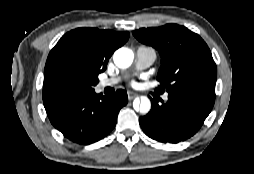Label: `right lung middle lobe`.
<instances>
[{
	"label": "right lung middle lobe",
	"instance_id": "right-lung-middle-lobe-1",
	"mask_svg": "<svg viewBox=\"0 0 254 174\" xmlns=\"http://www.w3.org/2000/svg\"><path fill=\"white\" fill-rule=\"evenodd\" d=\"M98 82L96 73L87 72L71 64H59L44 76L43 100L91 91Z\"/></svg>",
	"mask_w": 254,
	"mask_h": 174
}]
</instances>
